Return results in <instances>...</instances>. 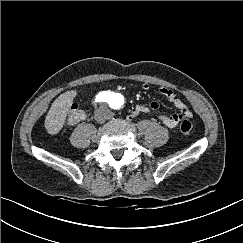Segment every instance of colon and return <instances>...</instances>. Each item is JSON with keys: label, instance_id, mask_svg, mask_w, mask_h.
<instances>
[{"label": "colon", "instance_id": "5ec220e1", "mask_svg": "<svg viewBox=\"0 0 243 243\" xmlns=\"http://www.w3.org/2000/svg\"><path fill=\"white\" fill-rule=\"evenodd\" d=\"M85 118V112L77 105H73L67 115L66 122L68 125H76ZM192 130V123L189 120H183L180 124V131L184 135H188Z\"/></svg>", "mask_w": 243, "mask_h": 243}]
</instances>
